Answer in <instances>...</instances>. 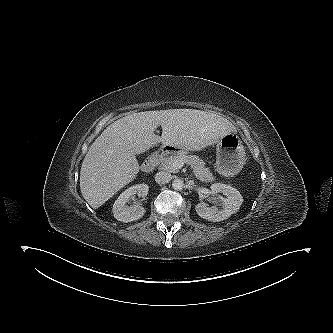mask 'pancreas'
<instances>
[{
	"instance_id": "cf45deb5",
	"label": "pancreas",
	"mask_w": 333,
	"mask_h": 333,
	"mask_svg": "<svg viewBox=\"0 0 333 333\" xmlns=\"http://www.w3.org/2000/svg\"><path fill=\"white\" fill-rule=\"evenodd\" d=\"M176 160H182L184 163L191 165L194 175L202 182L214 181V176L209 168H206L205 162L195 155L180 154L177 156H170L165 158L161 163V168L167 171H175L177 168L173 166Z\"/></svg>"
}]
</instances>
